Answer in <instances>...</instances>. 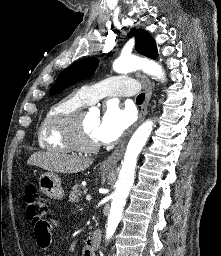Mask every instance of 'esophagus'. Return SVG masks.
I'll return each instance as SVG.
<instances>
[{"instance_id": "1", "label": "esophagus", "mask_w": 221, "mask_h": 256, "mask_svg": "<svg viewBox=\"0 0 221 256\" xmlns=\"http://www.w3.org/2000/svg\"><path fill=\"white\" fill-rule=\"evenodd\" d=\"M141 79H142V83H143V86L145 89L146 97L141 106L139 119H138L137 123L126 133V135L124 136V138L122 139L120 144L116 147V149L113 151V153L101 163V165L103 167L113 168L117 165V163L120 161V159L123 156L128 138L132 134L133 130L144 120V118L147 114V107H148L149 101L151 99L153 89H152L151 81L149 80V78L147 76L142 75Z\"/></svg>"}]
</instances>
